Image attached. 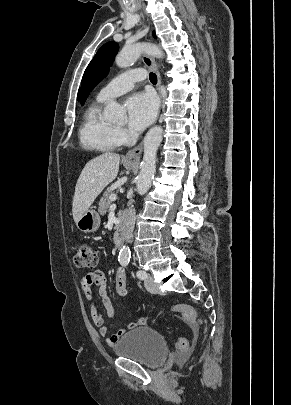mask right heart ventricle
<instances>
[{
  "label": "right heart ventricle",
  "mask_w": 291,
  "mask_h": 405,
  "mask_svg": "<svg viewBox=\"0 0 291 405\" xmlns=\"http://www.w3.org/2000/svg\"><path fill=\"white\" fill-rule=\"evenodd\" d=\"M104 102L97 98L86 109L79 129L82 146L98 152L113 151L120 144L116 136V128L102 117Z\"/></svg>",
  "instance_id": "1"
}]
</instances>
